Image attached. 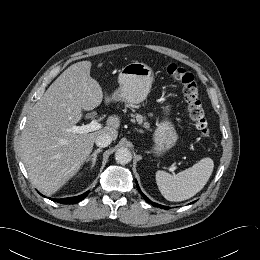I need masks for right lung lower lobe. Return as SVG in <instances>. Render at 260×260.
<instances>
[{
  "label": "right lung lower lobe",
  "instance_id": "right-lung-lower-lobe-1",
  "mask_svg": "<svg viewBox=\"0 0 260 260\" xmlns=\"http://www.w3.org/2000/svg\"><path fill=\"white\" fill-rule=\"evenodd\" d=\"M89 191H87L86 193L76 196V197H70V198H63V199H51L53 201L59 202V203H63V204H75L78 203L79 201L83 200L87 195H88Z\"/></svg>",
  "mask_w": 260,
  "mask_h": 260
}]
</instances>
